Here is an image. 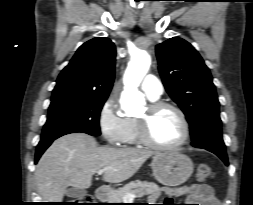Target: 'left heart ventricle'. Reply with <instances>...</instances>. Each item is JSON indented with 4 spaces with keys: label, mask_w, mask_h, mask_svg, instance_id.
I'll use <instances>...</instances> for the list:
<instances>
[{
    "label": "left heart ventricle",
    "mask_w": 253,
    "mask_h": 205,
    "mask_svg": "<svg viewBox=\"0 0 253 205\" xmlns=\"http://www.w3.org/2000/svg\"><path fill=\"white\" fill-rule=\"evenodd\" d=\"M147 109L140 117L145 116ZM150 131L152 138L161 145H174L184 134L183 124L179 116L170 109L159 112L151 121Z\"/></svg>",
    "instance_id": "left-heart-ventricle-1"
}]
</instances>
